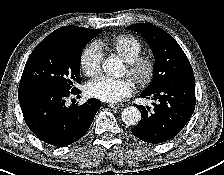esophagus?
Returning a JSON list of instances; mask_svg holds the SVG:
<instances>
[{
	"label": "esophagus",
	"instance_id": "obj_1",
	"mask_svg": "<svg viewBox=\"0 0 224 175\" xmlns=\"http://www.w3.org/2000/svg\"><path fill=\"white\" fill-rule=\"evenodd\" d=\"M108 106L111 107V108H115V109H121V108H123L125 105L122 104V103H116V104H114V103H109Z\"/></svg>",
	"mask_w": 224,
	"mask_h": 175
}]
</instances>
